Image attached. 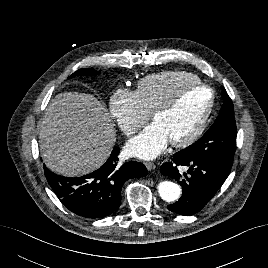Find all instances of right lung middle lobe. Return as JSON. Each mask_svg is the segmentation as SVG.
Instances as JSON below:
<instances>
[{
	"instance_id": "right-lung-middle-lobe-1",
	"label": "right lung middle lobe",
	"mask_w": 268,
	"mask_h": 268,
	"mask_svg": "<svg viewBox=\"0 0 268 268\" xmlns=\"http://www.w3.org/2000/svg\"><path fill=\"white\" fill-rule=\"evenodd\" d=\"M98 74V72L96 70H94L93 68H90V69H87V68H83V69H80L78 71H76L75 73H73L71 77H74V76H82V75H96Z\"/></svg>"
}]
</instances>
